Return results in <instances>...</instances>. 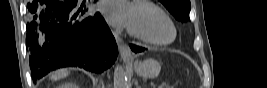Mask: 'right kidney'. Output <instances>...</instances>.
Wrapping results in <instances>:
<instances>
[{
	"mask_svg": "<svg viewBox=\"0 0 267 88\" xmlns=\"http://www.w3.org/2000/svg\"><path fill=\"white\" fill-rule=\"evenodd\" d=\"M58 88H78L75 83H63Z\"/></svg>",
	"mask_w": 267,
	"mask_h": 88,
	"instance_id": "right-kidney-1",
	"label": "right kidney"
}]
</instances>
